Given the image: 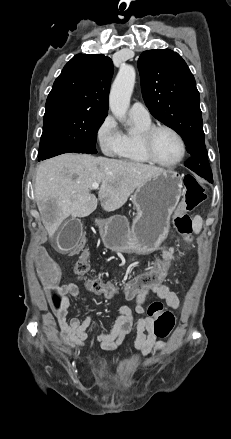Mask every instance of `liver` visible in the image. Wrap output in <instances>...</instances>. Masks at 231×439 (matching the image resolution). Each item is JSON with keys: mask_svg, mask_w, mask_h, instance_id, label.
Wrapping results in <instances>:
<instances>
[{"mask_svg": "<svg viewBox=\"0 0 231 439\" xmlns=\"http://www.w3.org/2000/svg\"><path fill=\"white\" fill-rule=\"evenodd\" d=\"M164 171L153 165L88 154L68 153L41 162L34 191L49 237L69 216H89L98 199L107 212L121 208L137 187ZM93 183L101 184L98 199L91 193Z\"/></svg>", "mask_w": 231, "mask_h": 439, "instance_id": "liver-1", "label": "liver"}]
</instances>
